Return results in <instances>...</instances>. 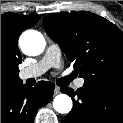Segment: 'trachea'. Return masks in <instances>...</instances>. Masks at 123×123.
<instances>
[{
    "label": "trachea",
    "mask_w": 123,
    "mask_h": 123,
    "mask_svg": "<svg viewBox=\"0 0 123 123\" xmlns=\"http://www.w3.org/2000/svg\"><path fill=\"white\" fill-rule=\"evenodd\" d=\"M73 78H74L73 75L60 78V79L57 80V84L59 86H67V85H69V83L72 81Z\"/></svg>",
    "instance_id": "obj_1"
}]
</instances>
